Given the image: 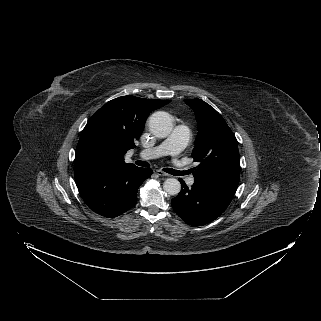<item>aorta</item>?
<instances>
[{"label": "aorta", "instance_id": "aorta-1", "mask_svg": "<svg viewBox=\"0 0 321 321\" xmlns=\"http://www.w3.org/2000/svg\"><path fill=\"white\" fill-rule=\"evenodd\" d=\"M150 132L159 138L167 137L173 128L171 116L163 111L153 113L148 121ZM163 188L169 195H177L181 190L180 182L175 178H168L163 183Z\"/></svg>", "mask_w": 321, "mask_h": 321}]
</instances>
